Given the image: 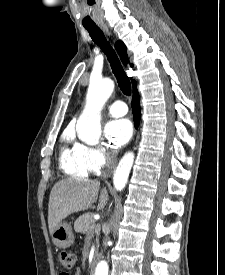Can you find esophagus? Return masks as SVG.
Masks as SVG:
<instances>
[{"mask_svg":"<svg viewBox=\"0 0 225 275\" xmlns=\"http://www.w3.org/2000/svg\"><path fill=\"white\" fill-rule=\"evenodd\" d=\"M101 28L107 35H109V36L111 35V32L109 31L107 26L103 25V26H101Z\"/></svg>","mask_w":225,"mask_h":275,"instance_id":"1","label":"esophagus"}]
</instances>
